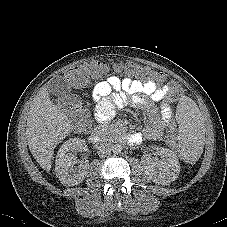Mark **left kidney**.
Here are the masks:
<instances>
[{"mask_svg":"<svg viewBox=\"0 0 227 227\" xmlns=\"http://www.w3.org/2000/svg\"><path fill=\"white\" fill-rule=\"evenodd\" d=\"M152 148L157 149L161 159L155 161L150 157H146L145 173L156 184L168 185L176 180L180 173L177 155L163 147L152 146Z\"/></svg>","mask_w":227,"mask_h":227,"instance_id":"5707ae66","label":"left kidney"}]
</instances>
